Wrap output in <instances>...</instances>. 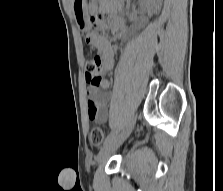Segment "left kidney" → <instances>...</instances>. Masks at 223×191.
<instances>
[{
    "instance_id": "obj_1",
    "label": "left kidney",
    "mask_w": 223,
    "mask_h": 191,
    "mask_svg": "<svg viewBox=\"0 0 223 191\" xmlns=\"http://www.w3.org/2000/svg\"><path fill=\"white\" fill-rule=\"evenodd\" d=\"M162 0H141L140 6L143 10L150 13H158L161 9Z\"/></svg>"
}]
</instances>
